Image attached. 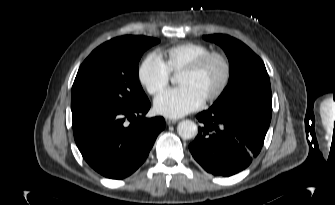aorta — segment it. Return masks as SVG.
Masks as SVG:
<instances>
[{
  "instance_id": "1",
  "label": "aorta",
  "mask_w": 335,
  "mask_h": 205,
  "mask_svg": "<svg viewBox=\"0 0 335 205\" xmlns=\"http://www.w3.org/2000/svg\"><path fill=\"white\" fill-rule=\"evenodd\" d=\"M177 132L183 139H191L197 135L198 127L191 120H183L178 124Z\"/></svg>"
}]
</instances>
